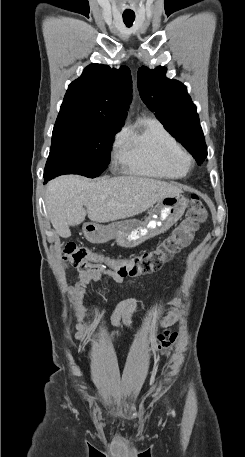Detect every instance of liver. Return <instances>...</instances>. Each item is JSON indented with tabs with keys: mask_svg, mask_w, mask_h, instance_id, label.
I'll use <instances>...</instances> for the list:
<instances>
[{
	"mask_svg": "<svg viewBox=\"0 0 245 457\" xmlns=\"http://www.w3.org/2000/svg\"><path fill=\"white\" fill-rule=\"evenodd\" d=\"M176 192H182L181 188L146 176L90 180L63 174L48 182L45 204L57 235L68 239L71 237L70 224L75 226L83 222L86 212L90 220L110 222L144 212L160 198Z\"/></svg>",
	"mask_w": 245,
	"mask_h": 457,
	"instance_id": "liver-1",
	"label": "liver"
}]
</instances>
